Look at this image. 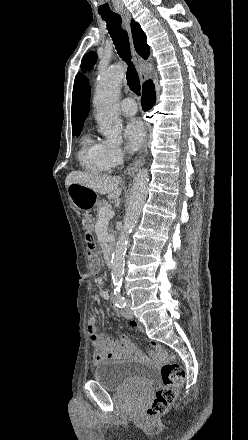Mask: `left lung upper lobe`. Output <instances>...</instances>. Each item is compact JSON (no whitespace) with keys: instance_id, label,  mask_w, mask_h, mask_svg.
<instances>
[{"instance_id":"obj_1","label":"left lung upper lobe","mask_w":248,"mask_h":440,"mask_svg":"<svg viewBox=\"0 0 248 440\" xmlns=\"http://www.w3.org/2000/svg\"><path fill=\"white\" fill-rule=\"evenodd\" d=\"M97 54L93 51L87 53L81 62V68L82 70L86 71L90 69L96 62Z\"/></svg>"}]
</instances>
